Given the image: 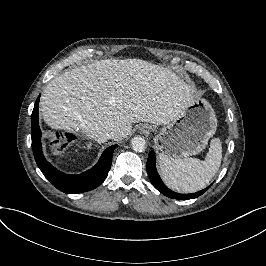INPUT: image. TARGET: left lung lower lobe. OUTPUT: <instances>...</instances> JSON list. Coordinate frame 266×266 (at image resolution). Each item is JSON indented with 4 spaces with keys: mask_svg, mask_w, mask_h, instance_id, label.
<instances>
[{
    "mask_svg": "<svg viewBox=\"0 0 266 266\" xmlns=\"http://www.w3.org/2000/svg\"><path fill=\"white\" fill-rule=\"evenodd\" d=\"M155 162H156V158H155V154L153 151H151L148 155V160H147V165H146V170L147 173L149 175L150 181L152 183V185L158 190L160 191L162 194H164L165 196L172 198V199H179V200H188V199H193V198H197L198 196H201L208 188L196 192V193H191V194H179V193H175L173 191H171L170 189H168L164 183L162 182L161 178L159 177L157 170H156V166H155Z\"/></svg>",
    "mask_w": 266,
    "mask_h": 266,
    "instance_id": "left-lung-lower-lobe-1",
    "label": "left lung lower lobe"
}]
</instances>
